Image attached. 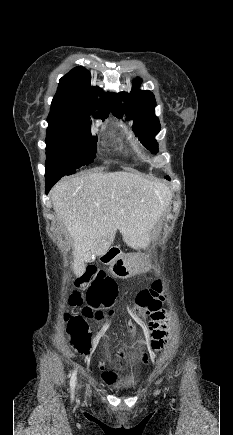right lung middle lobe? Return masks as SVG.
<instances>
[{
	"mask_svg": "<svg viewBox=\"0 0 233 435\" xmlns=\"http://www.w3.org/2000/svg\"><path fill=\"white\" fill-rule=\"evenodd\" d=\"M108 115L99 117L104 120ZM90 129L89 117L48 121L45 178L74 174L93 161L96 142Z\"/></svg>",
	"mask_w": 233,
	"mask_h": 435,
	"instance_id": "obj_1",
	"label": "right lung middle lobe"
}]
</instances>
